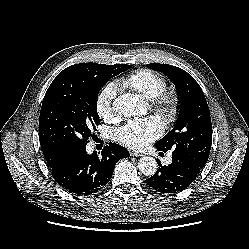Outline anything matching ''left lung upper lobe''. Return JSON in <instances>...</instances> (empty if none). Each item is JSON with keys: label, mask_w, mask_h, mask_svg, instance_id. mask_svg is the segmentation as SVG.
Masks as SVG:
<instances>
[{"label": "left lung upper lobe", "mask_w": 249, "mask_h": 249, "mask_svg": "<svg viewBox=\"0 0 249 249\" xmlns=\"http://www.w3.org/2000/svg\"><path fill=\"white\" fill-rule=\"evenodd\" d=\"M148 67L167 75L180 94V112L176 124L155 143V147L163 152L171 150L203 168L211 149L212 123L201 87L179 67L159 63H151Z\"/></svg>", "instance_id": "5c2ea615"}]
</instances>
